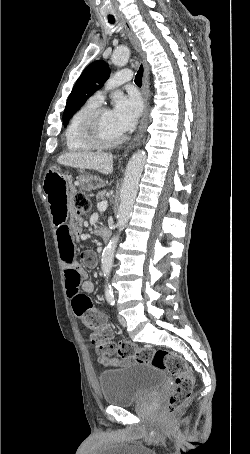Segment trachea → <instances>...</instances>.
Returning a JSON list of instances; mask_svg holds the SVG:
<instances>
[{"instance_id": "obj_1", "label": "trachea", "mask_w": 250, "mask_h": 454, "mask_svg": "<svg viewBox=\"0 0 250 454\" xmlns=\"http://www.w3.org/2000/svg\"><path fill=\"white\" fill-rule=\"evenodd\" d=\"M108 21L109 23H114L115 20H114V17L113 16H109L108 17ZM142 76H143V66L141 65L136 76H135V83L137 85H142Z\"/></svg>"}]
</instances>
